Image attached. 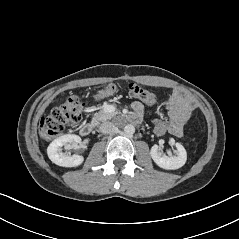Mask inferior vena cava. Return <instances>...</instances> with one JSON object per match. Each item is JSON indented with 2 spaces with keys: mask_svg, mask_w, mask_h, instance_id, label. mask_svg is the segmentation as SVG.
I'll list each match as a JSON object with an SVG mask.
<instances>
[{
  "mask_svg": "<svg viewBox=\"0 0 239 239\" xmlns=\"http://www.w3.org/2000/svg\"><path fill=\"white\" fill-rule=\"evenodd\" d=\"M100 132L104 134H113L117 132L118 128L112 122H104L99 127Z\"/></svg>",
  "mask_w": 239,
  "mask_h": 239,
  "instance_id": "1",
  "label": "inferior vena cava"
}]
</instances>
